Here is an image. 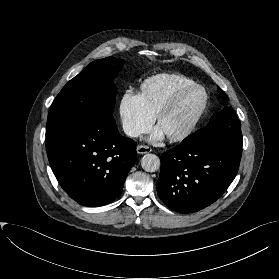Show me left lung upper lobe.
<instances>
[{
	"mask_svg": "<svg viewBox=\"0 0 279 279\" xmlns=\"http://www.w3.org/2000/svg\"><path fill=\"white\" fill-rule=\"evenodd\" d=\"M218 91L222 97L228 99L221 88L218 87ZM210 141L242 147L241 123L231 106L225 107L221 112L214 114L207 126L189 135L182 142L202 143Z\"/></svg>",
	"mask_w": 279,
	"mask_h": 279,
	"instance_id": "obj_1",
	"label": "left lung upper lobe"
}]
</instances>
